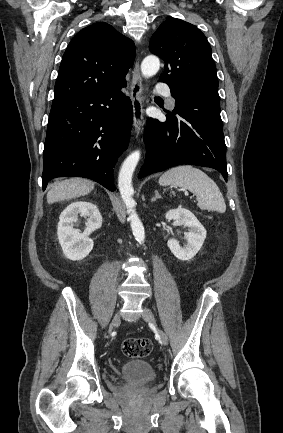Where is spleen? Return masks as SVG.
I'll use <instances>...</instances> for the list:
<instances>
[{"label": "spleen", "instance_id": "spleen-1", "mask_svg": "<svg viewBox=\"0 0 283 433\" xmlns=\"http://www.w3.org/2000/svg\"><path fill=\"white\" fill-rule=\"evenodd\" d=\"M159 184L162 186L175 184V186L188 188L190 192L196 194L197 204L202 210H218V212L226 210L223 194L214 180L209 178L203 170L193 168L191 164L170 168L160 176Z\"/></svg>", "mask_w": 283, "mask_h": 433}]
</instances>
